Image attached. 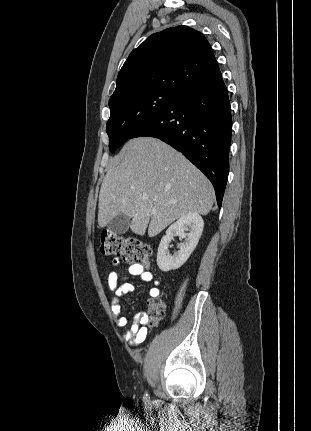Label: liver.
<instances>
[{
	"label": "liver",
	"instance_id": "1",
	"mask_svg": "<svg viewBox=\"0 0 311 431\" xmlns=\"http://www.w3.org/2000/svg\"><path fill=\"white\" fill-rule=\"evenodd\" d=\"M122 152V162L109 168L102 182L100 227L124 214L131 219L133 233L145 235L148 227L149 237H154L189 212L209 214L214 204L213 186L180 152L157 138H134Z\"/></svg>",
	"mask_w": 311,
	"mask_h": 431
}]
</instances>
